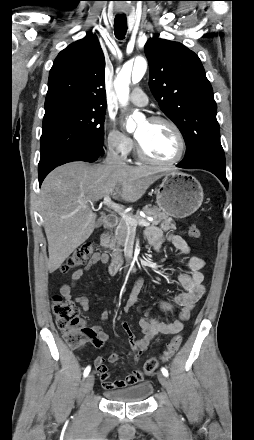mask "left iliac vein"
Masks as SVG:
<instances>
[{
    "label": "left iliac vein",
    "instance_id": "1",
    "mask_svg": "<svg viewBox=\"0 0 254 440\" xmlns=\"http://www.w3.org/2000/svg\"><path fill=\"white\" fill-rule=\"evenodd\" d=\"M157 377H158V380L161 383V385L165 389L169 390L170 386H169V382H168L167 378L162 373H160V372L157 373Z\"/></svg>",
    "mask_w": 254,
    "mask_h": 440
}]
</instances>
